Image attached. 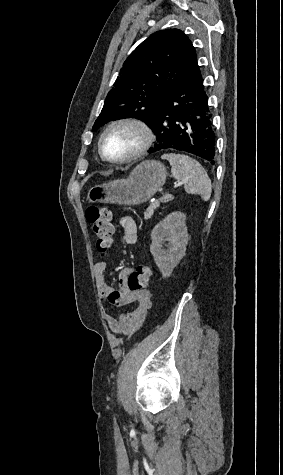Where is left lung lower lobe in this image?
I'll list each match as a JSON object with an SVG mask.
<instances>
[{
    "instance_id": "obj_1",
    "label": "left lung lower lobe",
    "mask_w": 283,
    "mask_h": 475,
    "mask_svg": "<svg viewBox=\"0 0 283 475\" xmlns=\"http://www.w3.org/2000/svg\"><path fill=\"white\" fill-rule=\"evenodd\" d=\"M199 68L177 82L158 105L150 128L157 141L149 152L173 148L214 164L216 137Z\"/></svg>"
}]
</instances>
